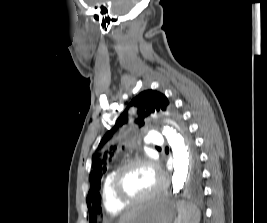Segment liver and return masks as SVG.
<instances>
[{
	"instance_id": "6515ba94",
	"label": "liver",
	"mask_w": 267,
	"mask_h": 223,
	"mask_svg": "<svg viewBox=\"0 0 267 223\" xmlns=\"http://www.w3.org/2000/svg\"><path fill=\"white\" fill-rule=\"evenodd\" d=\"M136 211V208H133L132 210L126 212L119 220V223H125Z\"/></svg>"
}]
</instances>
